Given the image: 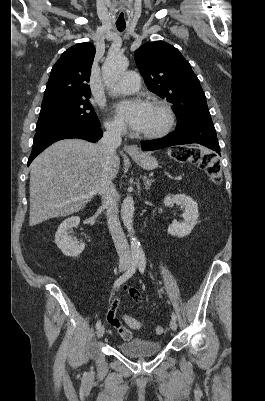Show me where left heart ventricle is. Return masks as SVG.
I'll use <instances>...</instances> for the list:
<instances>
[{
    "label": "left heart ventricle",
    "instance_id": "b2bd125f",
    "mask_svg": "<svg viewBox=\"0 0 265 401\" xmlns=\"http://www.w3.org/2000/svg\"><path fill=\"white\" fill-rule=\"evenodd\" d=\"M163 121V113L155 106L149 105L144 125L140 129L142 133L156 130Z\"/></svg>",
    "mask_w": 265,
    "mask_h": 401
}]
</instances>
